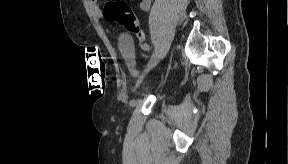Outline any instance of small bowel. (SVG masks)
Listing matches in <instances>:
<instances>
[{
    "label": "small bowel",
    "instance_id": "obj_1",
    "mask_svg": "<svg viewBox=\"0 0 288 164\" xmlns=\"http://www.w3.org/2000/svg\"><path fill=\"white\" fill-rule=\"evenodd\" d=\"M150 4L148 1H144L140 4L141 9L147 10L149 8Z\"/></svg>",
    "mask_w": 288,
    "mask_h": 164
}]
</instances>
